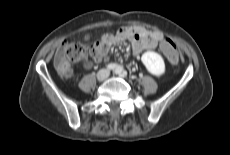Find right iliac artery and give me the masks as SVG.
I'll return each mask as SVG.
<instances>
[{
    "instance_id": "right-iliac-artery-1",
    "label": "right iliac artery",
    "mask_w": 230,
    "mask_h": 155,
    "mask_svg": "<svg viewBox=\"0 0 230 155\" xmlns=\"http://www.w3.org/2000/svg\"><path fill=\"white\" fill-rule=\"evenodd\" d=\"M116 68H117V65L114 64V63H110V64L107 65V69H109V70H114Z\"/></svg>"
}]
</instances>
